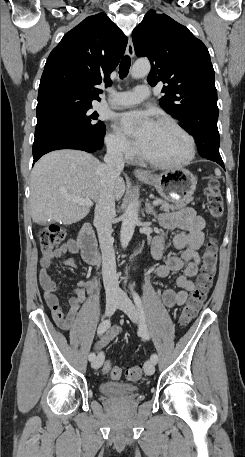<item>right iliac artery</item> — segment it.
<instances>
[{"instance_id":"1","label":"right iliac artery","mask_w":245,"mask_h":457,"mask_svg":"<svg viewBox=\"0 0 245 457\" xmlns=\"http://www.w3.org/2000/svg\"><path fill=\"white\" fill-rule=\"evenodd\" d=\"M110 324V319L103 320L97 329V334L102 335L110 327ZM95 357V353H90L88 356L90 361H93Z\"/></svg>"}]
</instances>
